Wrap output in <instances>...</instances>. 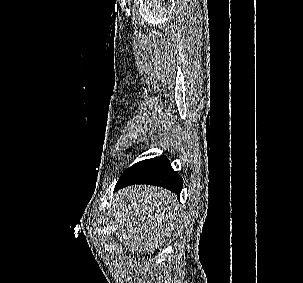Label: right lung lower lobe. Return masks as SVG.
<instances>
[{
  "mask_svg": "<svg viewBox=\"0 0 303 283\" xmlns=\"http://www.w3.org/2000/svg\"><path fill=\"white\" fill-rule=\"evenodd\" d=\"M133 184H149L164 187L179 194L182 187L181 177L174 172L166 157L140 161L123 172L115 190Z\"/></svg>",
  "mask_w": 303,
  "mask_h": 283,
  "instance_id": "98d812e1",
  "label": "right lung lower lobe"
}]
</instances>
